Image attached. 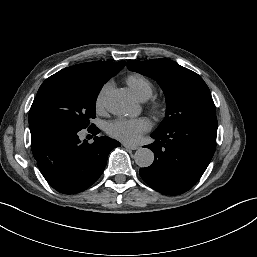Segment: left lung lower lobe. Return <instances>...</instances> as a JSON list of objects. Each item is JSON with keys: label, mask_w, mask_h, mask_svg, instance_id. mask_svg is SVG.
Returning <instances> with one entry per match:
<instances>
[{"label": "left lung lower lobe", "mask_w": 257, "mask_h": 257, "mask_svg": "<svg viewBox=\"0 0 257 257\" xmlns=\"http://www.w3.org/2000/svg\"><path fill=\"white\" fill-rule=\"evenodd\" d=\"M216 116L191 120L167 131L154 132V163L139 170L142 179L163 194H182L192 188L209 165L216 148Z\"/></svg>", "instance_id": "0a47b994"}]
</instances>
